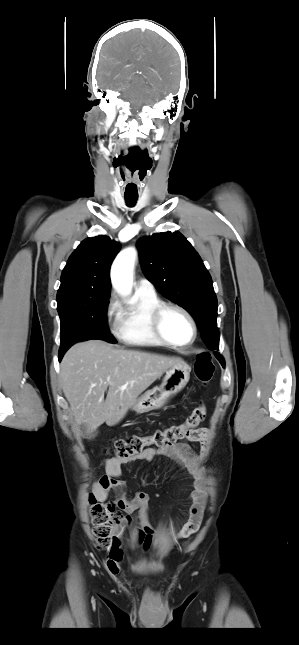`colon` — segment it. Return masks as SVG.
Returning a JSON list of instances; mask_svg holds the SVG:
<instances>
[{"instance_id": "5ec220e1", "label": "colon", "mask_w": 299, "mask_h": 645, "mask_svg": "<svg viewBox=\"0 0 299 645\" xmlns=\"http://www.w3.org/2000/svg\"><path fill=\"white\" fill-rule=\"evenodd\" d=\"M194 372L197 380L203 385H207L212 380L214 364L208 353L204 352L197 356ZM205 415L206 408L200 404L180 423L156 429L147 436L133 435L121 438L115 442L114 457L120 461H126L147 448H163L175 444L195 429ZM90 504L95 544L100 549H109L113 545V529L122 523L123 516L113 501L101 502L92 498Z\"/></svg>"}]
</instances>
